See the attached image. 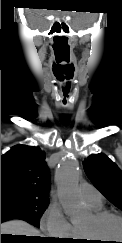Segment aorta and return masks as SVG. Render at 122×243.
Returning a JSON list of instances; mask_svg holds the SVG:
<instances>
[{"label":"aorta","instance_id":"762f6f07","mask_svg":"<svg viewBox=\"0 0 122 243\" xmlns=\"http://www.w3.org/2000/svg\"><path fill=\"white\" fill-rule=\"evenodd\" d=\"M80 173L76 159L65 156L55 172L58 197L65 214L74 221L83 210V204L78 194Z\"/></svg>","mask_w":122,"mask_h":243}]
</instances>
